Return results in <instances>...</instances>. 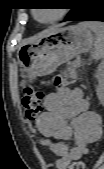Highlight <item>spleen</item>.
<instances>
[{"mask_svg": "<svg viewBox=\"0 0 104 169\" xmlns=\"http://www.w3.org/2000/svg\"><path fill=\"white\" fill-rule=\"evenodd\" d=\"M83 26L91 29L95 33V51L92 54V58L95 60L102 59L104 56V26L98 22H85Z\"/></svg>", "mask_w": 104, "mask_h": 169, "instance_id": "1", "label": "spleen"}]
</instances>
